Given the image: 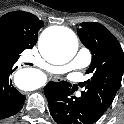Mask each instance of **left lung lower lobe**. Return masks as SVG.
Returning <instances> with one entry per match:
<instances>
[{"label":"left lung lower lobe","mask_w":124,"mask_h":124,"mask_svg":"<svg viewBox=\"0 0 124 124\" xmlns=\"http://www.w3.org/2000/svg\"><path fill=\"white\" fill-rule=\"evenodd\" d=\"M44 93L50 114L58 124H92L101 117L85 96L70 97L71 84L66 81L50 82L45 86Z\"/></svg>","instance_id":"0a47b994"}]
</instances>
